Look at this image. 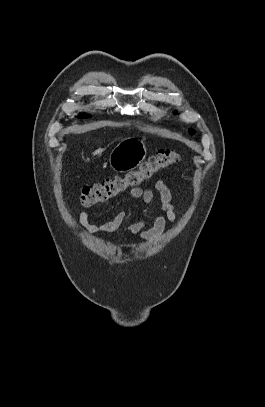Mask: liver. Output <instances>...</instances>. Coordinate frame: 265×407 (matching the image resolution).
I'll list each match as a JSON object with an SVG mask.
<instances>
[{
    "label": "liver",
    "instance_id": "1",
    "mask_svg": "<svg viewBox=\"0 0 265 407\" xmlns=\"http://www.w3.org/2000/svg\"><path fill=\"white\" fill-rule=\"evenodd\" d=\"M103 151V149H97L96 151H94V155H97V154H99V153H101Z\"/></svg>",
    "mask_w": 265,
    "mask_h": 407
}]
</instances>
